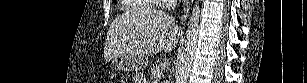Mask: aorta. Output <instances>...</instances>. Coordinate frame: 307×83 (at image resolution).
<instances>
[{
  "instance_id": "762f6f07",
  "label": "aorta",
  "mask_w": 307,
  "mask_h": 83,
  "mask_svg": "<svg viewBox=\"0 0 307 83\" xmlns=\"http://www.w3.org/2000/svg\"><path fill=\"white\" fill-rule=\"evenodd\" d=\"M199 20V1H195V5L192 9V14L186 31L185 48L182 52L180 63L177 69L176 83H186L189 77L197 47Z\"/></svg>"
}]
</instances>
